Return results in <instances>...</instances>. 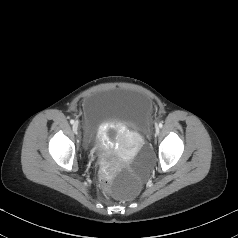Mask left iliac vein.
<instances>
[{"mask_svg":"<svg viewBox=\"0 0 238 238\" xmlns=\"http://www.w3.org/2000/svg\"><path fill=\"white\" fill-rule=\"evenodd\" d=\"M155 132H156V134H157V135L159 134V132H160V129H159V127H158V126L155 128Z\"/></svg>","mask_w":238,"mask_h":238,"instance_id":"1","label":"left iliac vein"}]
</instances>
